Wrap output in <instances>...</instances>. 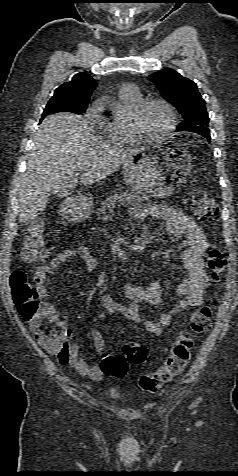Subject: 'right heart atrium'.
I'll use <instances>...</instances> for the list:
<instances>
[{
	"label": "right heart atrium",
	"instance_id": "obj_1",
	"mask_svg": "<svg viewBox=\"0 0 238 476\" xmlns=\"http://www.w3.org/2000/svg\"><path fill=\"white\" fill-rule=\"evenodd\" d=\"M98 109H99V104L98 103L93 104V106H91L88 110L89 118L92 121V123L97 127V129L103 133L104 124L94 117V114L98 111Z\"/></svg>",
	"mask_w": 238,
	"mask_h": 476
}]
</instances>
